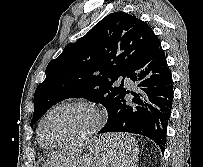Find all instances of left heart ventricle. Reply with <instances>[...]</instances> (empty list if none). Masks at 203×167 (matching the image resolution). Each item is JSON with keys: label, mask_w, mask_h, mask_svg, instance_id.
Wrapping results in <instances>:
<instances>
[{"label": "left heart ventricle", "mask_w": 203, "mask_h": 167, "mask_svg": "<svg viewBox=\"0 0 203 167\" xmlns=\"http://www.w3.org/2000/svg\"><path fill=\"white\" fill-rule=\"evenodd\" d=\"M93 121V115L84 108L69 106L59 109L44 123V142L57 144L74 138L89 129Z\"/></svg>", "instance_id": "left-heart-ventricle-1"}]
</instances>
